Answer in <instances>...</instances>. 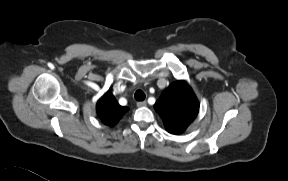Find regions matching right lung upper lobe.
<instances>
[{"instance_id": "cb5924a9", "label": "right lung upper lobe", "mask_w": 288, "mask_h": 181, "mask_svg": "<svg viewBox=\"0 0 288 181\" xmlns=\"http://www.w3.org/2000/svg\"><path fill=\"white\" fill-rule=\"evenodd\" d=\"M96 111L104 124L114 126L128 108L120 106L115 97L107 92L98 100Z\"/></svg>"}]
</instances>
